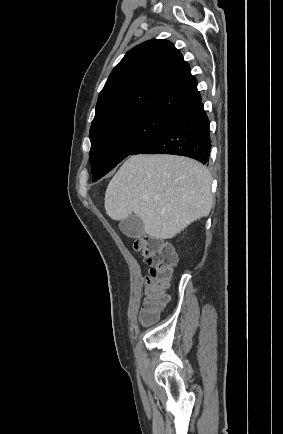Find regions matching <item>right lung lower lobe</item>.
<instances>
[{
    "label": "right lung lower lobe",
    "instance_id": "1",
    "mask_svg": "<svg viewBox=\"0 0 283 434\" xmlns=\"http://www.w3.org/2000/svg\"><path fill=\"white\" fill-rule=\"evenodd\" d=\"M211 149L209 119L200 102L181 115L171 119L149 137L131 155L174 154L208 162Z\"/></svg>",
    "mask_w": 283,
    "mask_h": 434
}]
</instances>
